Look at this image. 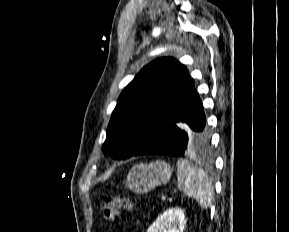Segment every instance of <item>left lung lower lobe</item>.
<instances>
[{
	"label": "left lung lower lobe",
	"instance_id": "1",
	"mask_svg": "<svg viewBox=\"0 0 289 232\" xmlns=\"http://www.w3.org/2000/svg\"><path fill=\"white\" fill-rule=\"evenodd\" d=\"M210 147L202 102L192 89L170 121L132 156L158 154L183 157Z\"/></svg>",
	"mask_w": 289,
	"mask_h": 232
}]
</instances>
